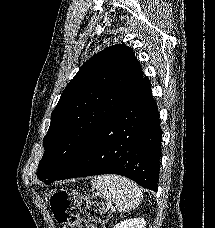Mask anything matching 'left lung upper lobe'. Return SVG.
Here are the masks:
<instances>
[{
  "instance_id": "obj_1",
  "label": "left lung upper lobe",
  "mask_w": 215,
  "mask_h": 228,
  "mask_svg": "<svg viewBox=\"0 0 215 228\" xmlns=\"http://www.w3.org/2000/svg\"><path fill=\"white\" fill-rule=\"evenodd\" d=\"M142 80L139 61L124 44L107 47L86 61L52 112L38 178L49 182L66 171Z\"/></svg>"
}]
</instances>
